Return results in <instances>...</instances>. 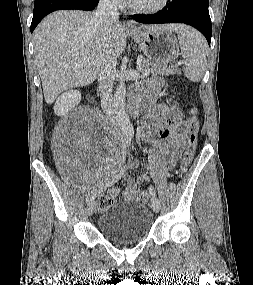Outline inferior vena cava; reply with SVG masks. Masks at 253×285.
<instances>
[{
    "label": "inferior vena cava",
    "instance_id": "obj_1",
    "mask_svg": "<svg viewBox=\"0 0 253 285\" xmlns=\"http://www.w3.org/2000/svg\"><path fill=\"white\" fill-rule=\"evenodd\" d=\"M119 13L116 0H100L94 14V21L101 24L104 30L118 23ZM101 107L105 116L114 123V101L112 96L113 83L116 76V58L107 50H104L99 57L97 69Z\"/></svg>",
    "mask_w": 253,
    "mask_h": 285
}]
</instances>
